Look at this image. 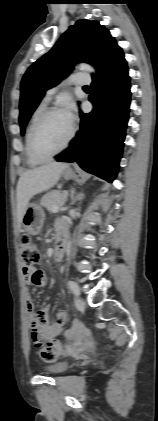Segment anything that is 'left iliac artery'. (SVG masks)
<instances>
[{
  "mask_svg": "<svg viewBox=\"0 0 158 421\" xmlns=\"http://www.w3.org/2000/svg\"><path fill=\"white\" fill-rule=\"evenodd\" d=\"M68 286L74 295L78 296L80 291L78 285L74 281H69Z\"/></svg>",
  "mask_w": 158,
  "mask_h": 421,
  "instance_id": "left-iliac-artery-1",
  "label": "left iliac artery"
}]
</instances>
